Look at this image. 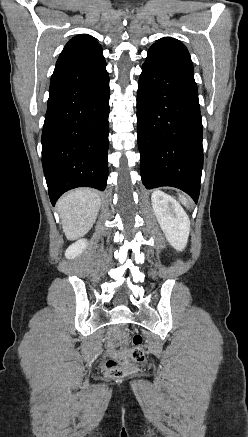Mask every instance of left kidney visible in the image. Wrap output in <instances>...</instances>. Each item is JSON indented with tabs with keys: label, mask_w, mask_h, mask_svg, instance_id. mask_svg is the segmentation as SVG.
<instances>
[{
	"label": "left kidney",
	"mask_w": 248,
	"mask_h": 437,
	"mask_svg": "<svg viewBox=\"0 0 248 437\" xmlns=\"http://www.w3.org/2000/svg\"><path fill=\"white\" fill-rule=\"evenodd\" d=\"M154 214L169 243L178 251H182L188 241L190 220L180 206L168 194L156 190L151 196Z\"/></svg>",
	"instance_id": "obj_1"
}]
</instances>
